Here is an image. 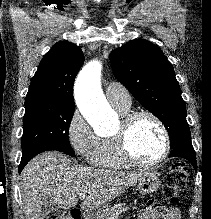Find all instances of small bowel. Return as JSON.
<instances>
[{"label":"small bowel","instance_id":"small-bowel-1","mask_svg":"<svg viewBox=\"0 0 211 219\" xmlns=\"http://www.w3.org/2000/svg\"><path fill=\"white\" fill-rule=\"evenodd\" d=\"M137 219H180L178 210L174 208H163L161 205L150 201L143 209Z\"/></svg>","mask_w":211,"mask_h":219}]
</instances>
